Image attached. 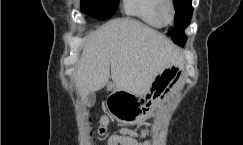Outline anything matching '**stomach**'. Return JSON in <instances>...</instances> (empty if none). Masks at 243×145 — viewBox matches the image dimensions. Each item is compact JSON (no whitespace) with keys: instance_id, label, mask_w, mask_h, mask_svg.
<instances>
[{"instance_id":"stomach-1","label":"stomach","mask_w":243,"mask_h":145,"mask_svg":"<svg viewBox=\"0 0 243 145\" xmlns=\"http://www.w3.org/2000/svg\"><path fill=\"white\" fill-rule=\"evenodd\" d=\"M171 66V65H170ZM167 66L155 77V82H152L153 87H170L171 83L176 81L180 76V71L174 67ZM169 68V69H168ZM166 75V76H164ZM115 85L110 84L109 90L113 89L110 94L107 105L110 112L120 122L126 124H134L142 121L148 113H154V108L146 106H157V102H169V95L163 94L168 92L167 88H152L151 94H146L145 97L139 94L129 93L119 88H114Z\"/></svg>"}]
</instances>
